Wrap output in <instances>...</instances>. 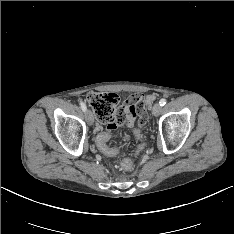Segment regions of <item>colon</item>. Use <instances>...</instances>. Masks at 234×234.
Returning a JSON list of instances; mask_svg holds the SVG:
<instances>
[{"label": "colon", "mask_w": 234, "mask_h": 234, "mask_svg": "<svg viewBox=\"0 0 234 234\" xmlns=\"http://www.w3.org/2000/svg\"><path fill=\"white\" fill-rule=\"evenodd\" d=\"M156 97L153 94L146 96V105L155 102ZM86 101L92 107L99 122L107 124L106 129L97 126V135L95 141L99 149L107 156H119L122 154L120 147H112L108 144L113 134L121 131V126L127 121L126 114L117 109L118 97L114 93H90L86 96ZM145 105V106H146ZM145 110V108H144ZM141 134L140 128H135L132 133L133 139H139ZM145 148V142L139 141L138 146L131 152L132 158H139ZM121 167L125 171L133 168V162L126 159L122 162Z\"/></svg>", "instance_id": "1"}]
</instances>
